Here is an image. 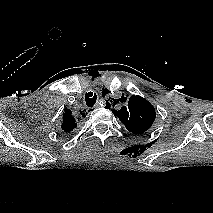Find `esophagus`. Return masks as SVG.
<instances>
[{
	"mask_svg": "<svg viewBox=\"0 0 213 213\" xmlns=\"http://www.w3.org/2000/svg\"><path fill=\"white\" fill-rule=\"evenodd\" d=\"M94 107H95V108L99 107V103H97Z\"/></svg>",
	"mask_w": 213,
	"mask_h": 213,
	"instance_id": "obj_1",
	"label": "esophagus"
}]
</instances>
